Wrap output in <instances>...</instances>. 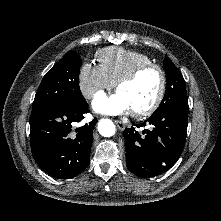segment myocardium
<instances>
[{
    "label": "myocardium",
    "mask_w": 221,
    "mask_h": 221,
    "mask_svg": "<svg viewBox=\"0 0 221 221\" xmlns=\"http://www.w3.org/2000/svg\"><path fill=\"white\" fill-rule=\"evenodd\" d=\"M148 70H156L159 75H160V89L159 92L157 94V97L155 98V100L153 101V103L151 105H149L147 108L145 109H141V110H135L133 111V115L136 117H146V116H150L152 115L161 105L165 93H166V88H167V76L166 73L164 71V69L155 64V63H146V64H141L137 67H135L133 70H131L130 72H128L127 74H125L124 76H122L117 82H116V89L119 90L120 87H122L123 85L130 83L132 81H134L135 79H137L142 73L148 71Z\"/></svg>",
    "instance_id": "myocardium-1"
}]
</instances>
